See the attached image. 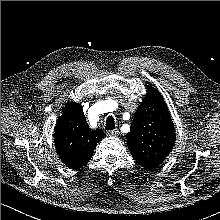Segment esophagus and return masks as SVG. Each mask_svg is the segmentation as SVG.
Masks as SVG:
<instances>
[{"instance_id": "1", "label": "esophagus", "mask_w": 220, "mask_h": 220, "mask_svg": "<svg viewBox=\"0 0 220 220\" xmlns=\"http://www.w3.org/2000/svg\"><path fill=\"white\" fill-rule=\"evenodd\" d=\"M107 134L110 136H117L119 134V130L118 129L110 130L107 132Z\"/></svg>"}]
</instances>
